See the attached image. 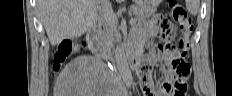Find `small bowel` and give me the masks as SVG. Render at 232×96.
I'll return each mask as SVG.
<instances>
[{"mask_svg": "<svg viewBox=\"0 0 232 96\" xmlns=\"http://www.w3.org/2000/svg\"><path fill=\"white\" fill-rule=\"evenodd\" d=\"M179 29V25H175L174 22H170L169 19H166V11H155V15H152V19L143 20L135 30H128L127 34L132 35L129 40L130 43L135 46H141L144 43H160V39H167V35H175ZM154 35H156V38H151ZM161 57H165L169 61V58L160 49H155L143 61V65L139 71V82L143 95L179 96L175 95L177 90H183V93H185L188 75L181 76L177 73H174V76L176 79L179 78L182 80V85H176V87L173 88L171 84L164 82L160 85L158 90L154 88L151 69L154 62Z\"/></svg>", "mask_w": 232, "mask_h": 96, "instance_id": "small-bowel-1", "label": "small bowel"}]
</instances>
